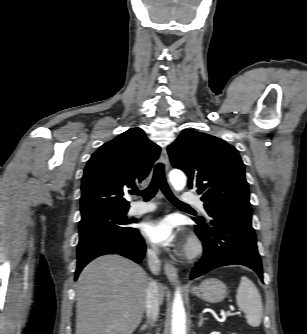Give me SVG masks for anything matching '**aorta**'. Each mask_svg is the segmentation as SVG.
<instances>
[{
  "mask_svg": "<svg viewBox=\"0 0 307 334\" xmlns=\"http://www.w3.org/2000/svg\"><path fill=\"white\" fill-rule=\"evenodd\" d=\"M169 180L176 191H181L186 185V176L180 170H172ZM171 334H186V313L179 288L175 292L172 315Z\"/></svg>",
  "mask_w": 307,
  "mask_h": 334,
  "instance_id": "762f6f07",
  "label": "aorta"
}]
</instances>
